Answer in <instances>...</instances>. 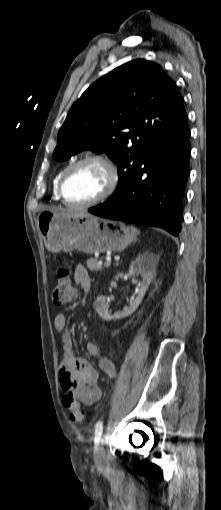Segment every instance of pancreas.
Here are the masks:
<instances>
[{"mask_svg":"<svg viewBox=\"0 0 221 510\" xmlns=\"http://www.w3.org/2000/svg\"><path fill=\"white\" fill-rule=\"evenodd\" d=\"M87 267L91 271H102L106 266H102V264H99L97 259L90 258L87 260Z\"/></svg>","mask_w":221,"mask_h":510,"instance_id":"pancreas-1","label":"pancreas"}]
</instances>
